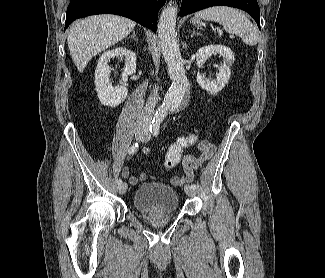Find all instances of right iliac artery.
Wrapping results in <instances>:
<instances>
[{
	"instance_id": "82829eb1",
	"label": "right iliac artery",
	"mask_w": 325,
	"mask_h": 278,
	"mask_svg": "<svg viewBox=\"0 0 325 278\" xmlns=\"http://www.w3.org/2000/svg\"><path fill=\"white\" fill-rule=\"evenodd\" d=\"M150 128H151V126H150ZM138 148H139V144H138V143H135V144H133V145L128 149V153H129V154H134V153L138 150ZM116 182H117L118 185L122 184V180H121V179H117Z\"/></svg>"
}]
</instances>
